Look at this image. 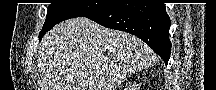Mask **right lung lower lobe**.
Segmentation results:
<instances>
[{
	"label": "right lung lower lobe",
	"instance_id": "98d812e1",
	"mask_svg": "<svg viewBox=\"0 0 216 90\" xmlns=\"http://www.w3.org/2000/svg\"><path fill=\"white\" fill-rule=\"evenodd\" d=\"M86 17L105 27L139 37L168 64L171 22L164 4H112Z\"/></svg>",
	"mask_w": 216,
	"mask_h": 90
}]
</instances>
